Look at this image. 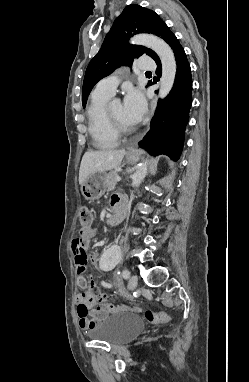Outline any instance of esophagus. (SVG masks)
Returning <instances> with one entry per match:
<instances>
[{"label": "esophagus", "instance_id": "34e87169", "mask_svg": "<svg viewBox=\"0 0 249 382\" xmlns=\"http://www.w3.org/2000/svg\"><path fill=\"white\" fill-rule=\"evenodd\" d=\"M153 112H154V103L152 102L151 103V114H153ZM130 152L133 153L134 150H131Z\"/></svg>", "mask_w": 249, "mask_h": 382}]
</instances>
